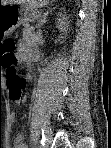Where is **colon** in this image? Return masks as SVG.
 <instances>
[{"mask_svg": "<svg viewBox=\"0 0 111 148\" xmlns=\"http://www.w3.org/2000/svg\"><path fill=\"white\" fill-rule=\"evenodd\" d=\"M7 48L9 50L13 49V43L10 42L7 44ZM14 60V57L11 55H6L3 58V65L5 67H7L9 64H11ZM6 84L9 90V96L12 100H16L19 99L21 97V81L19 79V77L10 70H7V74H6Z\"/></svg>", "mask_w": 111, "mask_h": 148, "instance_id": "obj_1", "label": "colon"}]
</instances>
